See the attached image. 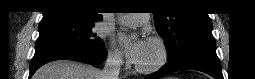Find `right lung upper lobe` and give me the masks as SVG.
<instances>
[{
    "label": "right lung upper lobe",
    "instance_id": "obj_1",
    "mask_svg": "<svg viewBox=\"0 0 255 79\" xmlns=\"http://www.w3.org/2000/svg\"><path fill=\"white\" fill-rule=\"evenodd\" d=\"M96 4V0H50L46 3L42 20L60 18L90 22L102 20Z\"/></svg>",
    "mask_w": 255,
    "mask_h": 79
}]
</instances>
